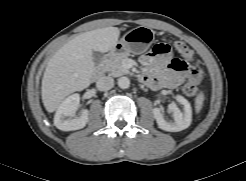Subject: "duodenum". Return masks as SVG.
<instances>
[{"instance_id": "410a0bca", "label": "duodenum", "mask_w": 246, "mask_h": 181, "mask_svg": "<svg viewBox=\"0 0 246 181\" xmlns=\"http://www.w3.org/2000/svg\"><path fill=\"white\" fill-rule=\"evenodd\" d=\"M116 50H119V48H116ZM114 52H115L114 50H111L108 53H106L105 56H104L103 62L104 63L107 62L113 56ZM102 71H103L102 67H99L95 71V73L93 74V79L94 80H99L101 78V76H102Z\"/></svg>"}]
</instances>
